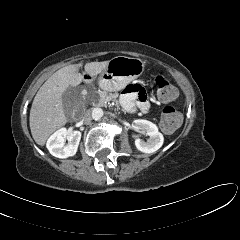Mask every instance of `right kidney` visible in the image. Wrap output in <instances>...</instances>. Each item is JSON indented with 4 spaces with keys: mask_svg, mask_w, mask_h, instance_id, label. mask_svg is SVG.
Here are the masks:
<instances>
[{
    "mask_svg": "<svg viewBox=\"0 0 240 240\" xmlns=\"http://www.w3.org/2000/svg\"><path fill=\"white\" fill-rule=\"evenodd\" d=\"M66 139L69 141L67 145H65ZM80 139V131L61 128L50 136L46 146L51 155L57 158H67L76 154Z\"/></svg>",
    "mask_w": 240,
    "mask_h": 240,
    "instance_id": "right-kidney-1",
    "label": "right kidney"
}]
</instances>
